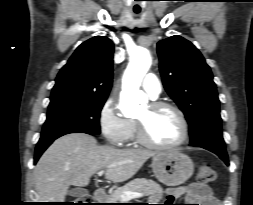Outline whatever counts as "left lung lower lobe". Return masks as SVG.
<instances>
[{"label":"left lung lower lobe","instance_id":"obj_1","mask_svg":"<svg viewBox=\"0 0 253 205\" xmlns=\"http://www.w3.org/2000/svg\"><path fill=\"white\" fill-rule=\"evenodd\" d=\"M199 147L207 149V150L215 153L226 163V165H229L228 155H227L225 148L219 147V146H214V145H204V146H199Z\"/></svg>","mask_w":253,"mask_h":205}]
</instances>
